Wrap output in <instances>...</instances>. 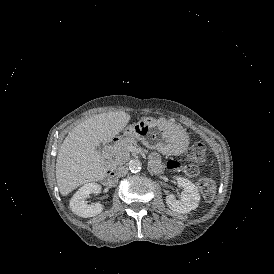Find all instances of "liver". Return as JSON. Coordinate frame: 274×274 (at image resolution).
<instances>
[{
    "instance_id": "liver-1",
    "label": "liver",
    "mask_w": 274,
    "mask_h": 274,
    "mask_svg": "<svg viewBox=\"0 0 274 274\" xmlns=\"http://www.w3.org/2000/svg\"><path fill=\"white\" fill-rule=\"evenodd\" d=\"M123 112H108L91 117L76 126L58 153L56 179L62 195L105 175L103 158L96 146L114 137L129 121Z\"/></svg>"
}]
</instances>
